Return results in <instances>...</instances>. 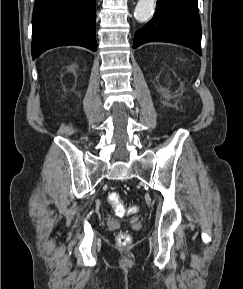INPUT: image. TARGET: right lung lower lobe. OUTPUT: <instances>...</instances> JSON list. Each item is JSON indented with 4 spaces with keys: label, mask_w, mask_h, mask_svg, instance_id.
I'll use <instances>...</instances> for the list:
<instances>
[{
    "label": "right lung lower lobe",
    "mask_w": 243,
    "mask_h": 289,
    "mask_svg": "<svg viewBox=\"0 0 243 289\" xmlns=\"http://www.w3.org/2000/svg\"><path fill=\"white\" fill-rule=\"evenodd\" d=\"M64 45L96 51L95 0H35L32 58Z\"/></svg>",
    "instance_id": "obj_1"
}]
</instances>
